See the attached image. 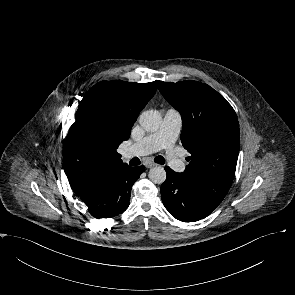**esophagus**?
Listing matches in <instances>:
<instances>
[{
	"mask_svg": "<svg viewBox=\"0 0 295 295\" xmlns=\"http://www.w3.org/2000/svg\"><path fill=\"white\" fill-rule=\"evenodd\" d=\"M157 164L156 163H154V162H152V161H147L146 163H145V166L147 167V168H152V167H155Z\"/></svg>",
	"mask_w": 295,
	"mask_h": 295,
	"instance_id": "esophagus-1",
	"label": "esophagus"
}]
</instances>
